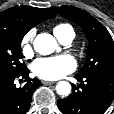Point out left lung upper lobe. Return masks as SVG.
<instances>
[{
	"label": "left lung upper lobe",
	"instance_id": "1",
	"mask_svg": "<svg viewBox=\"0 0 114 114\" xmlns=\"http://www.w3.org/2000/svg\"><path fill=\"white\" fill-rule=\"evenodd\" d=\"M52 9L82 27L88 39L86 62L78 75H114V42L107 29L88 12L73 6Z\"/></svg>",
	"mask_w": 114,
	"mask_h": 114
}]
</instances>
